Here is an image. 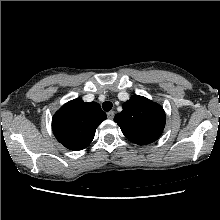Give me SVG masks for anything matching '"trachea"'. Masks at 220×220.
Instances as JSON below:
<instances>
[{
  "instance_id": "3493384b",
  "label": "trachea",
  "mask_w": 220,
  "mask_h": 220,
  "mask_svg": "<svg viewBox=\"0 0 220 220\" xmlns=\"http://www.w3.org/2000/svg\"><path fill=\"white\" fill-rule=\"evenodd\" d=\"M112 107H113V104H112V102H110V101H105V102H103V104H102V108L107 112V111H110L111 109H112Z\"/></svg>"
}]
</instances>
